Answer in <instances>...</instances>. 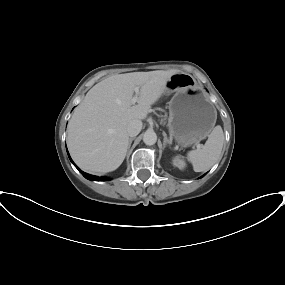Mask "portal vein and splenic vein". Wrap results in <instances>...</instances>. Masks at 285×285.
I'll return each instance as SVG.
<instances>
[{
    "label": "portal vein and splenic vein",
    "mask_w": 285,
    "mask_h": 285,
    "mask_svg": "<svg viewBox=\"0 0 285 285\" xmlns=\"http://www.w3.org/2000/svg\"><path fill=\"white\" fill-rule=\"evenodd\" d=\"M134 91H135V95H134V97L131 99V104H135L136 102H137V100H138V96H139V87H135L134 88ZM198 147H200V146H198Z\"/></svg>",
    "instance_id": "1"
}]
</instances>
